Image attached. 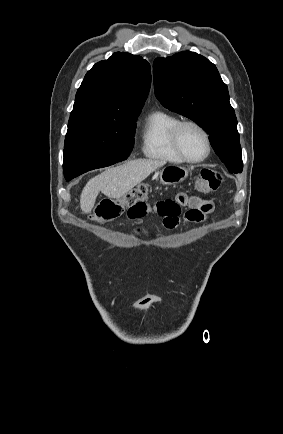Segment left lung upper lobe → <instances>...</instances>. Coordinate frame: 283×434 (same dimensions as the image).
Here are the masks:
<instances>
[{
	"mask_svg": "<svg viewBox=\"0 0 283 434\" xmlns=\"http://www.w3.org/2000/svg\"><path fill=\"white\" fill-rule=\"evenodd\" d=\"M153 75L155 95L160 103L201 125L228 170L241 173L237 119L227 85L216 66L202 55L183 51L155 59Z\"/></svg>",
	"mask_w": 283,
	"mask_h": 434,
	"instance_id": "obj_1",
	"label": "left lung upper lobe"
}]
</instances>
